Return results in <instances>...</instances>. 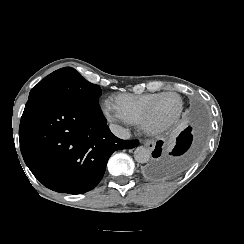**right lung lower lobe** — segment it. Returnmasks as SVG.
I'll list each match as a JSON object with an SVG mask.
<instances>
[{
	"instance_id": "98d812e1",
	"label": "right lung lower lobe",
	"mask_w": 244,
	"mask_h": 244,
	"mask_svg": "<svg viewBox=\"0 0 244 244\" xmlns=\"http://www.w3.org/2000/svg\"><path fill=\"white\" fill-rule=\"evenodd\" d=\"M19 139L33 175L47 188L69 194L93 189L115 150L139 144L114 136L99 106L46 96L28 100Z\"/></svg>"
}]
</instances>
